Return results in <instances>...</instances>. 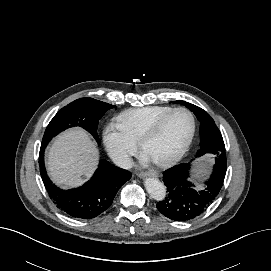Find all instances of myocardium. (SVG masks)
Here are the masks:
<instances>
[{"mask_svg": "<svg viewBox=\"0 0 271 271\" xmlns=\"http://www.w3.org/2000/svg\"><path fill=\"white\" fill-rule=\"evenodd\" d=\"M179 111H184L186 113L189 114V116L191 117L192 120V129H191V133L189 135L188 140L186 141V143L184 144V146L178 151L176 152L174 155L167 157L165 159L162 160H154L155 164L161 167H167V166H171L176 164L177 162H179L189 151L194 138H195V134H196V129H197V121H196V117L194 115V113L186 108V107H176L173 108L172 110H170L169 112H167L165 115H163L160 119H158L151 127H149L141 136L140 140H139V146L141 148V150H145V146L146 144L155 136L157 135V133L160 131V129L162 128V126L164 125V123L167 121V119L173 115L176 112Z\"/></svg>", "mask_w": 271, "mask_h": 271, "instance_id": "obj_1", "label": "myocardium"}]
</instances>
